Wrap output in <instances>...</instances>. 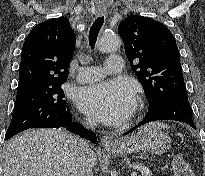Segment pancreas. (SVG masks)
<instances>
[{
    "mask_svg": "<svg viewBox=\"0 0 205 176\" xmlns=\"http://www.w3.org/2000/svg\"><path fill=\"white\" fill-rule=\"evenodd\" d=\"M139 168L141 169L142 172L141 176H152V174L148 171L146 167L140 166Z\"/></svg>",
    "mask_w": 205,
    "mask_h": 176,
    "instance_id": "1",
    "label": "pancreas"
}]
</instances>
